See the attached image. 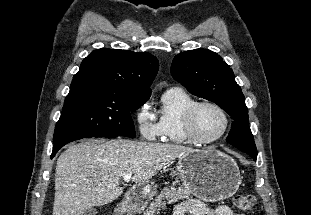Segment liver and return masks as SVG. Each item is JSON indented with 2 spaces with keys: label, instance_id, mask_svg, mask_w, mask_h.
Listing matches in <instances>:
<instances>
[{
  "label": "liver",
  "instance_id": "liver-1",
  "mask_svg": "<svg viewBox=\"0 0 311 215\" xmlns=\"http://www.w3.org/2000/svg\"><path fill=\"white\" fill-rule=\"evenodd\" d=\"M191 151L178 144L126 139L71 144L56 163L53 215H82L89 208L109 204L123 193L120 180L125 173H133L134 189Z\"/></svg>",
  "mask_w": 311,
  "mask_h": 215
}]
</instances>
